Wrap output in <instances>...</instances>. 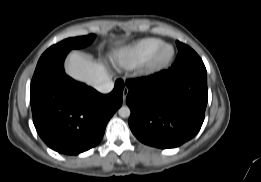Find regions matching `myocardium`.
Instances as JSON below:
<instances>
[{
	"mask_svg": "<svg viewBox=\"0 0 261 182\" xmlns=\"http://www.w3.org/2000/svg\"><path fill=\"white\" fill-rule=\"evenodd\" d=\"M166 49H170L171 53L167 58H163ZM175 56L174 47L170 44H163L156 52L144 63L141 73L145 77H151L159 74L166 69L173 61Z\"/></svg>",
	"mask_w": 261,
	"mask_h": 182,
	"instance_id": "1",
	"label": "myocardium"
}]
</instances>
